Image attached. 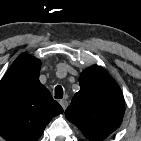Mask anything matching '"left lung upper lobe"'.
<instances>
[{
    "mask_svg": "<svg viewBox=\"0 0 141 141\" xmlns=\"http://www.w3.org/2000/svg\"><path fill=\"white\" fill-rule=\"evenodd\" d=\"M77 92L65 111L66 118L75 124L90 141H102L121 124L125 102L118 84L100 66L83 71Z\"/></svg>",
    "mask_w": 141,
    "mask_h": 141,
    "instance_id": "1",
    "label": "left lung upper lobe"
}]
</instances>
